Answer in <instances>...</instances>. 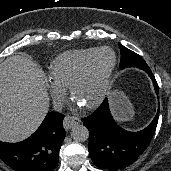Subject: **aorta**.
<instances>
[{
  "mask_svg": "<svg viewBox=\"0 0 171 171\" xmlns=\"http://www.w3.org/2000/svg\"><path fill=\"white\" fill-rule=\"evenodd\" d=\"M71 138L76 142H84L89 138V131L83 124H76L71 129Z\"/></svg>",
  "mask_w": 171,
  "mask_h": 171,
  "instance_id": "obj_1",
  "label": "aorta"
}]
</instances>
